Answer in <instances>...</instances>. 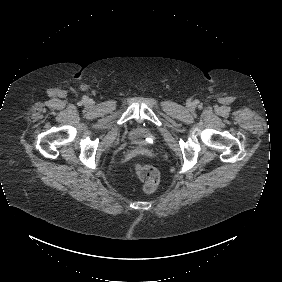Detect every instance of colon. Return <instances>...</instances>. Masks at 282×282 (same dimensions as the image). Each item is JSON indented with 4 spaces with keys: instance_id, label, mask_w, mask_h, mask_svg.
Masks as SVG:
<instances>
[{
    "instance_id": "1",
    "label": "colon",
    "mask_w": 282,
    "mask_h": 282,
    "mask_svg": "<svg viewBox=\"0 0 282 282\" xmlns=\"http://www.w3.org/2000/svg\"><path fill=\"white\" fill-rule=\"evenodd\" d=\"M135 172L143 183V188L146 192H153L160 182L159 173L156 168L145 165L137 164Z\"/></svg>"
}]
</instances>
